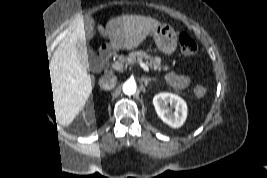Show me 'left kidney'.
I'll list each match as a JSON object with an SVG mask.
<instances>
[{"label":"left kidney","instance_id":"left-kidney-1","mask_svg":"<svg viewBox=\"0 0 267 178\" xmlns=\"http://www.w3.org/2000/svg\"><path fill=\"white\" fill-rule=\"evenodd\" d=\"M153 104L161 120L173 128L180 127L186 119V104L175 94L159 93L154 96Z\"/></svg>","mask_w":267,"mask_h":178}]
</instances>
